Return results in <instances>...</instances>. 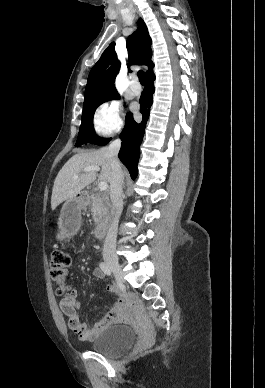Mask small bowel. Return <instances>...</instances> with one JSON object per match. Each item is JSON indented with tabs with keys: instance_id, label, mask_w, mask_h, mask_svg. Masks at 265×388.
<instances>
[{
	"instance_id": "c3829d8e",
	"label": "small bowel",
	"mask_w": 265,
	"mask_h": 388,
	"mask_svg": "<svg viewBox=\"0 0 265 388\" xmlns=\"http://www.w3.org/2000/svg\"><path fill=\"white\" fill-rule=\"evenodd\" d=\"M93 274L97 278H102L104 275L101 268H95ZM107 290L117 294L118 299L105 318L97 322L93 327H90L87 323L81 321L78 313L81 301L78 299L77 291L71 290L70 293L60 301V309L63 315L67 317V322H65L63 318H60L58 320L59 330L61 332H66L67 329H70L78 335L80 340L93 341L98 334L108 326L127 321V308L130 304L129 296L120 291L114 284H109Z\"/></svg>"
}]
</instances>
